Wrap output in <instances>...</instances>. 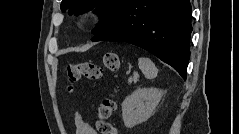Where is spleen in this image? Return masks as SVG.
Listing matches in <instances>:
<instances>
[{
  "instance_id": "spleen-1",
  "label": "spleen",
  "mask_w": 239,
  "mask_h": 134,
  "mask_svg": "<svg viewBox=\"0 0 239 134\" xmlns=\"http://www.w3.org/2000/svg\"><path fill=\"white\" fill-rule=\"evenodd\" d=\"M138 65L147 79H153L157 76L158 69L149 58L140 57L138 59Z\"/></svg>"
}]
</instances>
